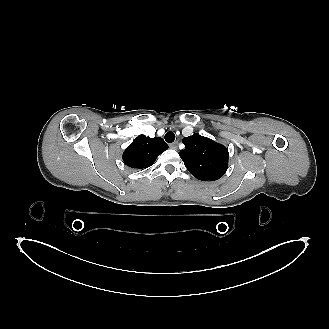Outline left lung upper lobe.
<instances>
[{"label":"left lung upper lobe","mask_w":329,"mask_h":329,"mask_svg":"<svg viewBox=\"0 0 329 329\" xmlns=\"http://www.w3.org/2000/svg\"><path fill=\"white\" fill-rule=\"evenodd\" d=\"M185 149L179 153L188 171L202 181L221 178L228 167L229 153L225 146L199 135L183 138Z\"/></svg>","instance_id":"left-lung-upper-lobe-1"}]
</instances>
